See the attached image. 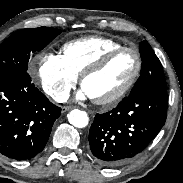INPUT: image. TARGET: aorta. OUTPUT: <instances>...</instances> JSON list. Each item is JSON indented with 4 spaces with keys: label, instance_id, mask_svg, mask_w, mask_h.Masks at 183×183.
<instances>
[{
    "label": "aorta",
    "instance_id": "aorta-1",
    "mask_svg": "<svg viewBox=\"0 0 183 183\" xmlns=\"http://www.w3.org/2000/svg\"><path fill=\"white\" fill-rule=\"evenodd\" d=\"M70 124L76 128H84L88 125L89 118L85 111L74 109L68 114Z\"/></svg>",
    "mask_w": 183,
    "mask_h": 183
}]
</instances>
